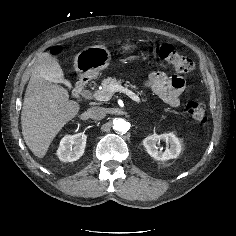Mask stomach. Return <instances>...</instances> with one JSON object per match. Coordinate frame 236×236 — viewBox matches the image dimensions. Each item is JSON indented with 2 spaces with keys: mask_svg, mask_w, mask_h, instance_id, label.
Returning <instances> with one entry per match:
<instances>
[{
  "mask_svg": "<svg viewBox=\"0 0 236 236\" xmlns=\"http://www.w3.org/2000/svg\"><path fill=\"white\" fill-rule=\"evenodd\" d=\"M137 43L129 40L123 44V50L134 49ZM111 60L109 50L103 45L90 46L79 52L74 58V68L79 76L92 78L108 67Z\"/></svg>",
  "mask_w": 236,
  "mask_h": 236,
  "instance_id": "stomach-1",
  "label": "stomach"
}]
</instances>
